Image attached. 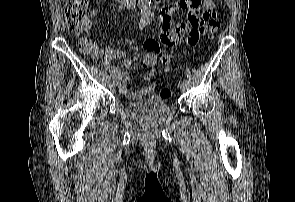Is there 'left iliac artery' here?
Here are the masks:
<instances>
[{
  "label": "left iliac artery",
  "instance_id": "44dca946",
  "mask_svg": "<svg viewBox=\"0 0 295 202\" xmlns=\"http://www.w3.org/2000/svg\"><path fill=\"white\" fill-rule=\"evenodd\" d=\"M183 82H186V83H188L187 79H184V80H183Z\"/></svg>",
  "mask_w": 295,
  "mask_h": 202
}]
</instances>
